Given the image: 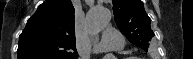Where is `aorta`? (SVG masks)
<instances>
[{"label":"aorta","instance_id":"aorta-1","mask_svg":"<svg viewBox=\"0 0 193 59\" xmlns=\"http://www.w3.org/2000/svg\"><path fill=\"white\" fill-rule=\"evenodd\" d=\"M111 20V11L105 7H94L87 13L86 27L90 34H98ZM105 59H114V56L107 54Z\"/></svg>","mask_w":193,"mask_h":59}]
</instances>
